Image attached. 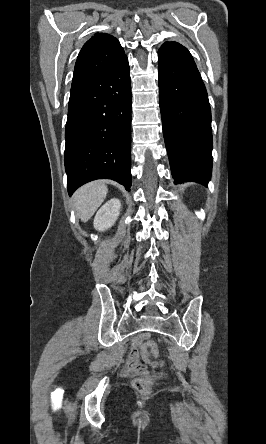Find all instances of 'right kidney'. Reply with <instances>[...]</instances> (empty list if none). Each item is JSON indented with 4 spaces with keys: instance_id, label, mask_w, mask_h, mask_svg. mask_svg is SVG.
<instances>
[{
    "instance_id": "ca27d5eb",
    "label": "right kidney",
    "mask_w": 266,
    "mask_h": 444,
    "mask_svg": "<svg viewBox=\"0 0 266 444\" xmlns=\"http://www.w3.org/2000/svg\"><path fill=\"white\" fill-rule=\"evenodd\" d=\"M121 202L119 199H111L106 202L96 213L94 218V228L104 231L114 225L120 214Z\"/></svg>"
}]
</instances>
